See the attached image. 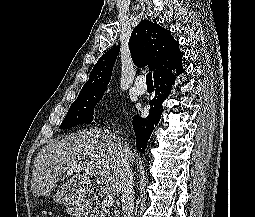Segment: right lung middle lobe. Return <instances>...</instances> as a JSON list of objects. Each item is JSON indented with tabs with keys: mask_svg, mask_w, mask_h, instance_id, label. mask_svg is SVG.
I'll return each mask as SVG.
<instances>
[{
	"mask_svg": "<svg viewBox=\"0 0 255 217\" xmlns=\"http://www.w3.org/2000/svg\"><path fill=\"white\" fill-rule=\"evenodd\" d=\"M104 92L105 91L79 94L77 99L70 106L60 128L67 129L78 124L92 122L94 107L102 99Z\"/></svg>",
	"mask_w": 255,
	"mask_h": 217,
	"instance_id": "1",
	"label": "right lung middle lobe"
}]
</instances>
